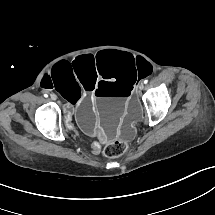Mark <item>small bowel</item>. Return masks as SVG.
<instances>
[{
  "label": "small bowel",
  "instance_id": "small-bowel-1",
  "mask_svg": "<svg viewBox=\"0 0 215 215\" xmlns=\"http://www.w3.org/2000/svg\"><path fill=\"white\" fill-rule=\"evenodd\" d=\"M99 149V147L98 146H95V150H98Z\"/></svg>",
  "mask_w": 215,
  "mask_h": 215
}]
</instances>
